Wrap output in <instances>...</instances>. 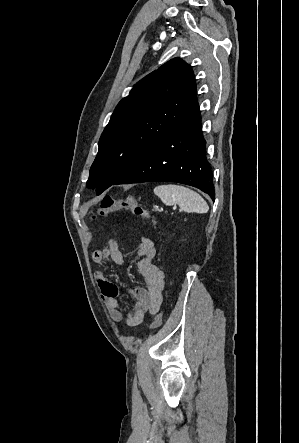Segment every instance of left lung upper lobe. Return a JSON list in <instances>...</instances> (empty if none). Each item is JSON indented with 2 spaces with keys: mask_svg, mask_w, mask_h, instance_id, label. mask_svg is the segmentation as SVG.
<instances>
[{
  "mask_svg": "<svg viewBox=\"0 0 299 443\" xmlns=\"http://www.w3.org/2000/svg\"><path fill=\"white\" fill-rule=\"evenodd\" d=\"M197 105L193 71L180 58L144 77L119 102L104 129L87 186L101 194Z\"/></svg>",
  "mask_w": 299,
  "mask_h": 443,
  "instance_id": "obj_1",
  "label": "left lung upper lobe"
}]
</instances>
